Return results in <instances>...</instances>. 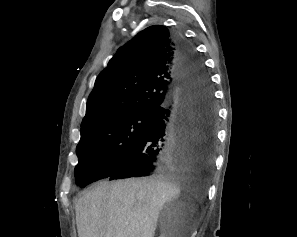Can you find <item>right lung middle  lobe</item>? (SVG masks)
<instances>
[{
    "label": "right lung middle lobe",
    "mask_w": 297,
    "mask_h": 237,
    "mask_svg": "<svg viewBox=\"0 0 297 237\" xmlns=\"http://www.w3.org/2000/svg\"><path fill=\"white\" fill-rule=\"evenodd\" d=\"M153 117L154 112H135L97 121L82 131L76 148V183L84 187L108 173L144 135Z\"/></svg>",
    "instance_id": "1"
}]
</instances>
